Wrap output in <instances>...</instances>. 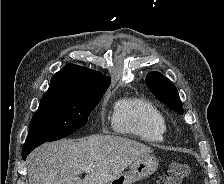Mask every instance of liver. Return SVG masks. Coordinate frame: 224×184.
<instances>
[{"label": "liver", "instance_id": "liver-1", "mask_svg": "<svg viewBox=\"0 0 224 184\" xmlns=\"http://www.w3.org/2000/svg\"><path fill=\"white\" fill-rule=\"evenodd\" d=\"M152 149L137 141L92 135L44 144L28 157L29 184H107ZM88 168L83 180L81 168Z\"/></svg>", "mask_w": 224, "mask_h": 184}]
</instances>
